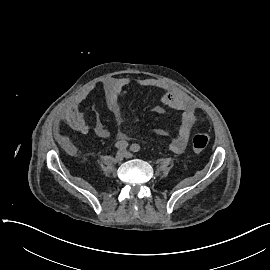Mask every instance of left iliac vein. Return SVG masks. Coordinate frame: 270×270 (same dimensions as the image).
<instances>
[{
    "label": "left iliac vein",
    "instance_id": "obj_1",
    "mask_svg": "<svg viewBox=\"0 0 270 270\" xmlns=\"http://www.w3.org/2000/svg\"><path fill=\"white\" fill-rule=\"evenodd\" d=\"M126 153V158H131L133 155L129 152H125Z\"/></svg>",
    "mask_w": 270,
    "mask_h": 270
}]
</instances>
